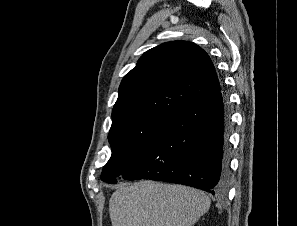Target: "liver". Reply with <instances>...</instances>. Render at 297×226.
<instances>
[{
  "label": "liver",
  "instance_id": "liver-1",
  "mask_svg": "<svg viewBox=\"0 0 297 226\" xmlns=\"http://www.w3.org/2000/svg\"><path fill=\"white\" fill-rule=\"evenodd\" d=\"M210 204L197 189L146 180L118 188L109 213L112 226H192Z\"/></svg>",
  "mask_w": 297,
  "mask_h": 226
}]
</instances>
